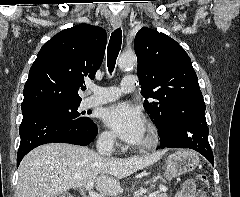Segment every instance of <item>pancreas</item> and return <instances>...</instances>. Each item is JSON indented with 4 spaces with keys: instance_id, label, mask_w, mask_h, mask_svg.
I'll return each instance as SVG.
<instances>
[{
    "instance_id": "1",
    "label": "pancreas",
    "mask_w": 240,
    "mask_h": 197,
    "mask_svg": "<svg viewBox=\"0 0 240 197\" xmlns=\"http://www.w3.org/2000/svg\"><path fill=\"white\" fill-rule=\"evenodd\" d=\"M153 197H168L166 193H159V194H156L155 196Z\"/></svg>"
}]
</instances>
